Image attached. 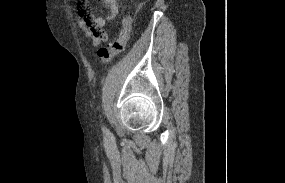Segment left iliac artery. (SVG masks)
<instances>
[{
	"label": "left iliac artery",
	"instance_id": "44dca946",
	"mask_svg": "<svg viewBox=\"0 0 285 183\" xmlns=\"http://www.w3.org/2000/svg\"><path fill=\"white\" fill-rule=\"evenodd\" d=\"M103 132L106 133L107 135L110 133L109 130L106 127L102 128Z\"/></svg>",
	"mask_w": 285,
	"mask_h": 183
}]
</instances>
